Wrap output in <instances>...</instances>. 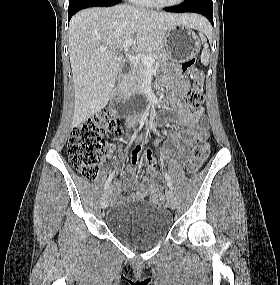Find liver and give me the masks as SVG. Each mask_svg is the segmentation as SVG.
Masks as SVG:
<instances>
[{
  "label": "liver",
  "instance_id": "1",
  "mask_svg": "<svg viewBox=\"0 0 280 285\" xmlns=\"http://www.w3.org/2000/svg\"><path fill=\"white\" fill-rule=\"evenodd\" d=\"M175 24L198 29L206 21L195 14H169L130 5L90 8L74 15L68 31L75 91L72 126L108 104L120 71L117 50L124 41L133 39L134 51L151 52L159 48Z\"/></svg>",
  "mask_w": 280,
  "mask_h": 285
}]
</instances>
